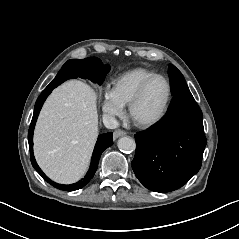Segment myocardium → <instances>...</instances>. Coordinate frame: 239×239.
Segmentation results:
<instances>
[{"instance_id":"obj_1","label":"myocardium","mask_w":239,"mask_h":239,"mask_svg":"<svg viewBox=\"0 0 239 239\" xmlns=\"http://www.w3.org/2000/svg\"><path fill=\"white\" fill-rule=\"evenodd\" d=\"M157 79H163L167 83V86H168V96H167L165 106H164L163 110L161 111V113L154 119H152V120L139 119L135 115V109H136L138 103L140 102V100L142 99L147 88L151 85L152 82H154ZM172 98H173V87H172V83L169 80V78H167L166 76H164L162 74H156V75L148 78L139 87V89L136 91V93L132 97L130 103L128 104V113H129V116H130L132 122L136 126L141 127V128H151V127L158 125L168 114V111L171 106Z\"/></svg>"}]
</instances>
